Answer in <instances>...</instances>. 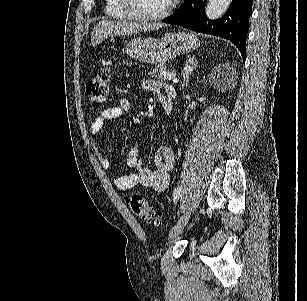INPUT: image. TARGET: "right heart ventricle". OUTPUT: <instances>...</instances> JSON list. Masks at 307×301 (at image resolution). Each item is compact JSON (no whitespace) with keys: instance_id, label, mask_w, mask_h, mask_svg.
Listing matches in <instances>:
<instances>
[{"instance_id":"right-heart-ventricle-1","label":"right heart ventricle","mask_w":307,"mask_h":301,"mask_svg":"<svg viewBox=\"0 0 307 301\" xmlns=\"http://www.w3.org/2000/svg\"><path fill=\"white\" fill-rule=\"evenodd\" d=\"M108 1L107 10H104V17H126L125 9H117V5H120L121 1L118 0H106Z\"/></svg>"}]
</instances>
